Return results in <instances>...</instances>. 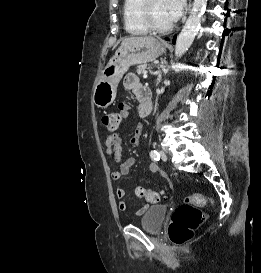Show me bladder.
I'll use <instances>...</instances> for the list:
<instances>
[{
    "label": "bladder",
    "instance_id": "bladder-1",
    "mask_svg": "<svg viewBox=\"0 0 261 273\" xmlns=\"http://www.w3.org/2000/svg\"><path fill=\"white\" fill-rule=\"evenodd\" d=\"M168 209L164 205L147 207L140 220L141 228L149 233H158L162 229Z\"/></svg>",
    "mask_w": 261,
    "mask_h": 273
}]
</instances>
